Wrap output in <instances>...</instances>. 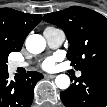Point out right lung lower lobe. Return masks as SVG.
I'll use <instances>...</instances> for the list:
<instances>
[{"label":"right lung lower lobe","instance_id":"right-lung-lower-lobe-1","mask_svg":"<svg viewBox=\"0 0 107 107\" xmlns=\"http://www.w3.org/2000/svg\"><path fill=\"white\" fill-rule=\"evenodd\" d=\"M8 70H0V107H30L33 101L34 87L43 75L28 72L18 75L10 81Z\"/></svg>","mask_w":107,"mask_h":107}]
</instances>
